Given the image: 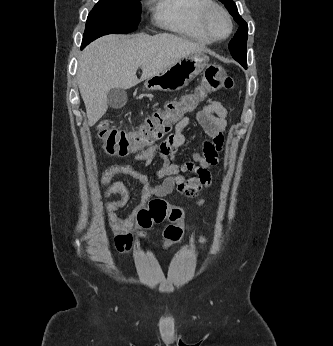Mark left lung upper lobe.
I'll use <instances>...</instances> for the list:
<instances>
[{"mask_svg":"<svg viewBox=\"0 0 333 346\" xmlns=\"http://www.w3.org/2000/svg\"><path fill=\"white\" fill-rule=\"evenodd\" d=\"M222 2L234 20L238 23L239 28L229 43V50L232 57L237 60L242 66L246 67V41L248 36V25L239 15L236 4L233 0H219Z\"/></svg>","mask_w":333,"mask_h":346,"instance_id":"5c2ea615","label":"left lung upper lobe"}]
</instances>
